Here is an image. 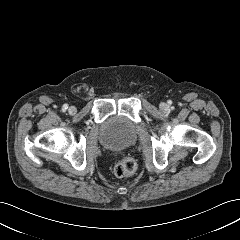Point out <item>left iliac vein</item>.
<instances>
[{
    "instance_id": "4c4485c4",
    "label": "left iliac vein",
    "mask_w": 240,
    "mask_h": 240,
    "mask_svg": "<svg viewBox=\"0 0 240 240\" xmlns=\"http://www.w3.org/2000/svg\"><path fill=\"white\" fill-rule=\"evenodd\" d=\"M166 108V105L163 103L161 104V109H165Z\"/></svg>"
}]
</instances>
